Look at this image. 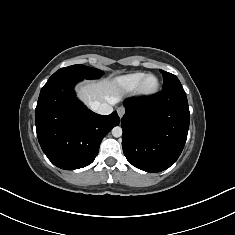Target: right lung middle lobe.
<instances>
[{
	"instance_id": "right-lung-middle-lobe-1",
	"label": "right lung middle lobe",
	"mask_w": 235,
	"mask_h": 235,
	"mask_svg": "<svg viewBox=\"0 0 235 235\" xmlns=\"http://www.w3.org/2000/svg\"><path fill=\"white\" fill-rule=\"evenodd\" d=\"M103 75V71L84 65H72L56 71L49 80L61 77H77L80 79H97Z\"/></svg>"
}]
</instances>
